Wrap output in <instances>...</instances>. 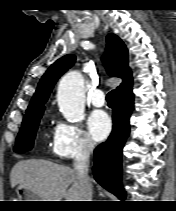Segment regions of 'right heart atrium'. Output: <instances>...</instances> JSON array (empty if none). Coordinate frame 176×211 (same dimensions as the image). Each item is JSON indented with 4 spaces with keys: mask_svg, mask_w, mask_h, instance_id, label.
<instances>
[{
    "mask_svg": "<svg viewBox=\"0 0 176 211\" xmlns=\"http://www.w3.org/2000/svg\"><path fill=\"white\" fill-rule=\"evenodd\" d=\"M93 149L92 139L78 124L57 122L51 141V151L56 157L64 160L82 158Z\"/></svg>",
    "mask_w": 176,
    "mask_h": 211,
    "instance_id": "d8ad5b80",
    "label": "right heart atrium"
}]
</instances>
